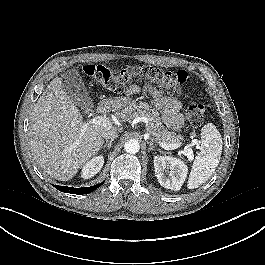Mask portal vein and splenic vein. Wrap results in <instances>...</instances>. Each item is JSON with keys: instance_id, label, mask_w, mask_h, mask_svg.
I'll use <instances>...</instances> for the list:
<instances>
[{"instance_id": "obj_1", "label": "portal vein and splenic vein", "mask_w": 265, "mask_h": 265, "mask_svg": "<svg viewBox=\"0 0 265 265\" xmlns=\"http://www.w3.org/2000/svg\"><path fill=\"white\" fill-rule=\"evenodd\" d=\"M88 125L108 126V125H110V121L106 117L96 116V117L92 118L90 121L84 122L83 127H82L83 129L81 130V132H83ZM194 144H197V142L194 141ZM160 146L162 148H164L165 150H174V149L179 148L181 146V143H174V144L160 143ZM186 155L190 158L193 157V151L189 146H188Z\"/></svg>"}]
</instances>
